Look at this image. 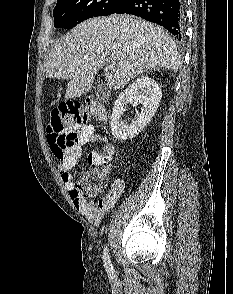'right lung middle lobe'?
Segmentation results:
<instances>
[{"label":"right lung middle lobe","mask_w":233,"mask_h":294,"mask_svg":"<svg viewBox=\"0 0 233 294\" xmlns=\"http://www.w3.org/2000/svg\"><path fill=\"white\" fill-rule=\"evenodd\" d=\"M123 0H57L54 27L70 29L97 16L110 15Z\"/></svg>","instance_id":"1"}]
</instances>
